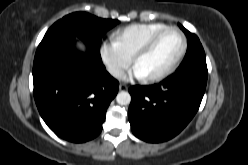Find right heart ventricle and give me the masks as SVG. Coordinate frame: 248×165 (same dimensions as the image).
<instances>
[{"label": "right heart ventricle", "mask_w": 248, "mask_h": 165, "mask_svg": "<svg viewBox=\"0 0 248 165\" xmlns=\"http://www.w3.org/2000/svg\"><path fill=\"white\" fill-rule=\"evenodd\" d=\"M166 26V24L158 22L131 24L117 30L114 33V40L128 55L133 57L152 34Z\"/></svg>", "instance_id": "obj_1"}]
</instances>
